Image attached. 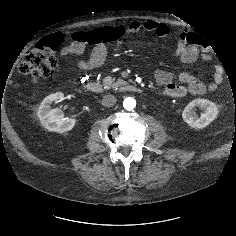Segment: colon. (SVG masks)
<instances>
[{"label": "colon", "instance_id": "1", "mask_svg": "<svg viewBox=\"0 0 236 236\" xmlns=\"http://www.w3.org/2000/svg\"><path fill=\"white\" fill-rule=\"evenodd\" d=\"M123 34L124 30L122 27H105L88 32H77L74 33L72 37L75 41L96 47L111 44ZM62 39L63 37L58 33L43 39L42 42L21 61L19 71L23 75L29 76L34 82L38 81L40 78L52 75L58 66L55 51L60 46Z\"/></svg>", "mask_w": 236, "mask_h": 236}]
</instances>
